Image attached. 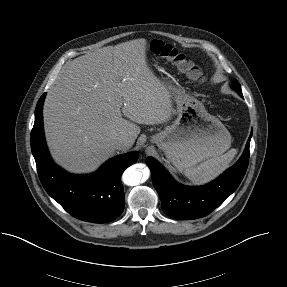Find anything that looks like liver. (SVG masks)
Returning a JSON list of instances; mask_svg holds the SVG:
<instances>
[{
  "mask_svg": "<svg viewBox=\"0 0 287 287\" xmlns=\"http://www.w3.org/2000/svg\"><path fill=\"white\" fill-rule=\"evenodd\" d=\"M146 47L145 39L103 47L58 76L44 103V130L54 160L69 172L96 170L114 154V138L128 139L125 151L141 131L137 124L164 123L174 113L165 84L147 65Z\"/></svg>",
  "mask_w": 287,
  "mask_h": 287,
  "instance_id": "6515ba94",
  "label": "liver"
}]
</instances>
